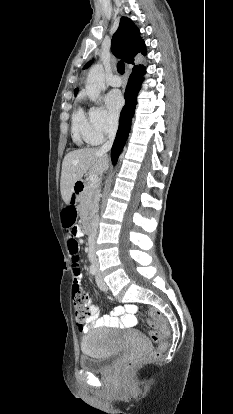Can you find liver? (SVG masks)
<instances>
[{"mask_svg":"<svg viewBox=\"0 0 233 414\" xmlns=\"http://www.w3.org/2000/svg\"><path fill=\"white\" fill-rule=\"evenodd\" d=\"M108 166V156L100 153L99 149L85 148L69 152L63 159L60 179V191L64 202L69 204L75 183L87 171L89 174L101 176Z\"/></svg>","mask_w":233,"mask_h":414,"instance_id":"liver-1","label":"liver"}]
</instances>
